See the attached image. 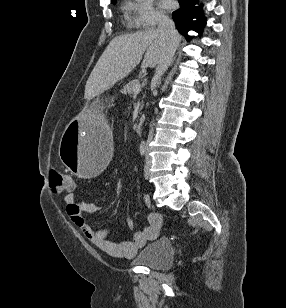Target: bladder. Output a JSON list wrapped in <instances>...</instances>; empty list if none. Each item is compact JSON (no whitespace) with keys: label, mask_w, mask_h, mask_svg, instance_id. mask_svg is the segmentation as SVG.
I'll use <instances>...</instances> for the list:
<instances>
[{"label":"bladder","mask_w":286,"mask_h":308,"mask_svg":"<svg viewBox=\"0 0 286 308\" xmlns=\"http://www.w3.org/2000/svg\"><path fill=\"white\" fill-rule=\"evenodd\" d=\"M174 257L173 244L168 238L146 244L133 258L132 262L139 266L164 269L172 265Z\"/></svg>","instance_id":"31cf9c89"}]
</instances>
